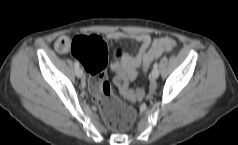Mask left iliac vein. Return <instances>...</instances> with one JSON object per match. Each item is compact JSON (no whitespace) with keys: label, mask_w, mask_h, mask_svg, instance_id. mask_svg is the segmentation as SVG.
<instances>
[{"label":"left iliac vein","mask_w":238,"mask_h":145,"mask_svg":"<svg viewBox=\"0 0 238 145\" xmlns=\"http://www.w3.org/2000/svg\"><path fill=\"white\" fill-rule=\"evenodd\" d=\"M159 77V70L158 68H153L150 73V79L155 80Z\"/></svg>","instance_id":"1"}]
</instances>
